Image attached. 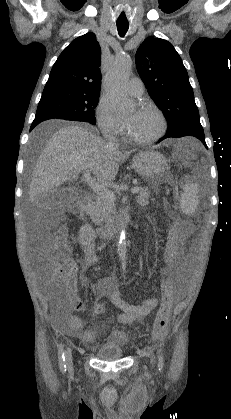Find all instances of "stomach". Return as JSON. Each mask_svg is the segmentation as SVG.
I'll list each match as a JSON object with an SVG mask.
<instances>
[{"instance_id": "1", "label": "stomach", "mask_w": 231, "mask_h": 419, "mask_svg": "<svg viewBox=\"0 0 231 419\" xmlns=\"http://www.w3.org/2000/svg\"><path fill=\"white\" fill-rule=\"evenodd\" d=\"M132 164L135 171L153 186L164 182L168 165L161 153L154 150L141 152L133 157Z\"/></svg>"}]
</instances>
